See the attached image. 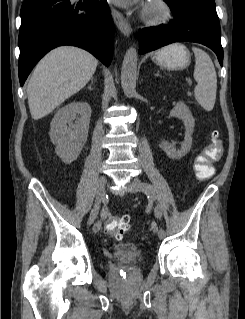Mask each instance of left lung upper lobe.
<instances>
[{
  "label": "left lung upper lobe",
  "instance_id": "left-lung-upper-lobe-1",
  "mask_svg": "<svg viewBox=\"0 0 245 319\" xmlns=\"http://www.w3.org/2000/svg\"><path fill=\"white\" fill-rule=\"evenodd\" d=\"M171 8L180 9L183 7H193L213 15L216 13L214 0H164Z\"/></svg>",
  "mask_w": 245,
  "mask_h": 319
}]
</instances>
